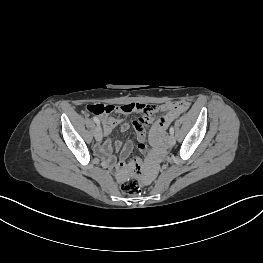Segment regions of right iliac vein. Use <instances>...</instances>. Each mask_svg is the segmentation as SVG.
<instances>
[{
  "label": "right iliac vein",
  "instance_id": "obj_1",
  "mask_svg": "<svg viewBox=\"0 0 263 263\" xmlns=\"http://www.w3.org/2000/svg\"><path fill=\"white\" fill-rule=\"evenodd\" d=\"M94 136H95L96 141L100 142L102 140V129L100 125H98L95 128Z\"/></svg>",
  "mask_w": 263,
  "mask_h": 263
}]
</instances>
